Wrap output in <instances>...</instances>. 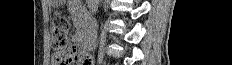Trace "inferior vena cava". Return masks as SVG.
I'll return each instance as SVG.
<instances>
[{
	"label": "inferior vena cava",
	"mask_w": 232,
	"mask_h": 65,
	"mask_svg": "<svg viewBox=\"0 0 232 65\" xmlns=\"http://www.w3.org/2000/svg\"><path fill=\"white\" fill-rule=\"evenodd\" d=\"M88 7L92 13H96L98 9V0H87Z\"/></svg>",
	"instance_id": "inferior-vena-cava-1"
}]
</instances>
